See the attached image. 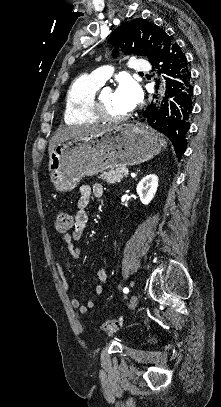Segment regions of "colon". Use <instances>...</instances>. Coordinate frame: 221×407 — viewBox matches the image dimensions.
<instances>
[{
  "instance_id": "1",
  "label": "colon",
  "mask_w": 221,
  "mask_h": 407,
  "mask_svg": "<svg viewBox=\"0 0 221 407\" xmlns=\"http://www.w3.org/2000/svg\"><path fill=\"white\" fill-rule=\"evenodd\" d=\"M73 219L67 211H61L58 213L56 218V230L59 233H67L70 228L72 227ZM123 325L122 319H113L105 321L100 326V331L104 333H115L118 331Z\"/></svg>"
}]
</instances>
